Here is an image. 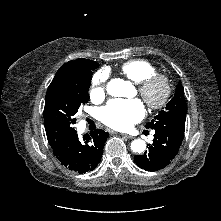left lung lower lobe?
<instances>
[{
  "label": "left lung lower lobe",
  "mask_w": 221,
  "mask_h": 221,
  "mask_svg": "<svg viewBox=\"0 0 221 221\" xmlns=\"http://www.w3.org/2000/svg\"><path fill=\"white\" fill-rule=\"evenodd\" d=\"M177 135L163 131H155L153 143L148 145V151L143 155H136L134 161L140 168L157 171L166 167L176 156L182 144Z\"/></svg>",
  "instance_id": "1"
}]
</instances>
